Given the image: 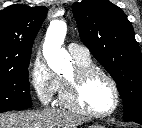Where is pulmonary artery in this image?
<instances>
[{"label": "pulmonary artery", "mask_w": 142, "mask_h": 128, "mask_svg": "<svg viewBox=\"0 0 142 128\" xmlns=\"http://www.w3.org/2000/svg\"><path fill=\"white\" fill-rule=\"evenodd\" d=\"M67 49L74 59H77V60L90 59L89 50L82 45H79L76 43H70V44H68Z\"/></svg>", "instance_id": "e3ab8cb5"}]
</instances>
